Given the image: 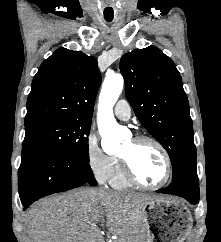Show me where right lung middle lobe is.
I'll use <instances>...</instances> for the list:
<instances>
[{"instance_id":"dd1d6c3e","label":"right lung middle lobe","mask_w":221,"mask_h":242,"mask_svg":"<svg viewBox=\"0 0 221 242\" xmlns=\"http://www.w3.org/2000/svg\"><path fill=\"white\" fill-rule=\"evenodd\" d=\"M92 119L47 120L25 126L22 149L48 148L89 162L88 135Z\"/></svg>"}]
</instances>
